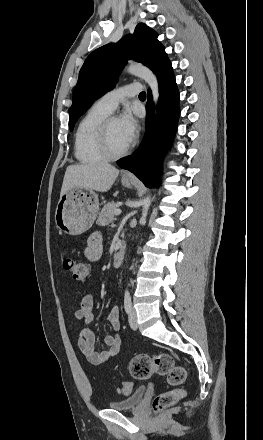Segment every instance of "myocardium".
<instances>
[{"label": "myocardium", "mask_w": 263, "mask_h": 440, "mask_svg": "<svg viewBox=\"0 0 263 440\" xmlns=\"http://www.w3.org/2000/svg\"><path fill=\"white\" fill-rule=\"evenodd\" d=\"M117 119L116 116L109 114L99 124L97 129V146L100 152L107 159H118L124 157L130 151L132 144L130 143L125 149L115 152L111 149L108 139L109 125L112 120Z\"/></svg>", "instance_id": "f54148a6"}]
</instances>
